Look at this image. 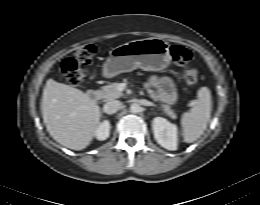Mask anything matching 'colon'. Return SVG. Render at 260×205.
<instances>
[{"instance_id":"obj_1","label":"colon","mask_w":260,"mask_h":205,"mask_svg":"<svg viewBox=\"0 0 260 205\" xmlns=\"http://www.w3.org/2000/svg\"><path fill=\"white\" fill-rule=\"evenodd\" d=\"M94 54L95 47L91 44L85 45L77 48L72 56L62 61L61 70L70 85L78 86L85 81L86 71L83 66L88 65L92 61ZM171 55L177 64L186 67V83L190 86L195 85L198 80V71L192 64V52L188 48L176 44L171 47Z\"/></svg>"}]
</instances>
